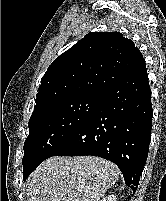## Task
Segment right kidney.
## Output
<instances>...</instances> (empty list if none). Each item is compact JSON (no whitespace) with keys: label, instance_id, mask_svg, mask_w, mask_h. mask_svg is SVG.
Instances as JSON below:
<instances>
[{"label":"right kidney","instance_id":"1","mask_svg":"<svg viewBox=\"0 0 166 201\" xmlns=\"http://www.w3.org/2000/svg\"><path fill=\"white\" fill-rule=\"evenodd\" d=\"M101 201H117V198L114 194H110L104 197Z\"/></svg>","mask_w":166,"mask_h":201}]
</instances>
